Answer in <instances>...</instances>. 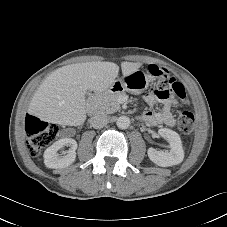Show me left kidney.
<instances>
[{"instance_id": "5707ae66", "label": "left kidney", "mask_w": 227, "mask_h": 227, "mask_svg": "<svg viewBox=\"0 0 227 227\" xmlns=\"http://www.w3.org/2000/svg\"><path fill=\"white\" fill-rule=\"evenodd\" d=\"M158 134L168 141L170 151H158L155 148H149L148 157L150 160L161 167L181 163L184 159V151L179 134L168 128L159 129Z\"/></svg>"}]
</instances>
